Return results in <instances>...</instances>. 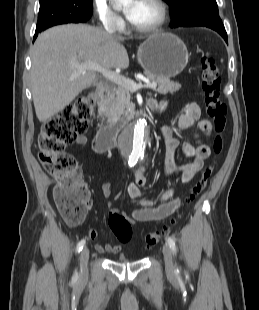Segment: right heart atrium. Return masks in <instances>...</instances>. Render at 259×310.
Here are the masks:
<instances>
[{"mask_svg": "<svg viewBox=\"0 0 259 310\" xmlns=\"http://www.w3.org/2000/svg\"><path fill=\"white\" fill-rule=\"evenodd\" d=\"M95 11L106 28L120 29L123 26L122 18L107 5L105 0H95Z\"/></svg>", "mask_w": 259, "mask_h": 310, "instance_id": "right-heart-atrium-1", "label": "right heart atrium"}]
</instances>
